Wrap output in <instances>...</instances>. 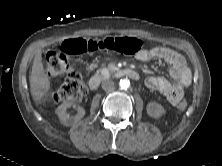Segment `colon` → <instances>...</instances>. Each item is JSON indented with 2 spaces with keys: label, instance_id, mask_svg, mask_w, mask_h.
<instances>
[{
  "label": "colon",
  "instance_id": "1",
  "mask_svg": "<svg viewBox=\"0 0 222 166\" xmlns=\"http://www.w3.org/2000/svg\"><path fill=\"white\" fill-rule=\"evenodd\" d=\"M142 41L134 37H107L101 40L86 41L70 39L63 43L61 51L47 54L44 66L49 77L65 76L61 86L52 94L54 103L72 101L81 98L85 87L80 72L69 62V56L94 51H114L121 54L139 52ZM187 107L185 98L179 100L177 108L184 110Z\"/></svg>",
  "mask_w": 222,
  "mask_h": 166
}]
</instances>
